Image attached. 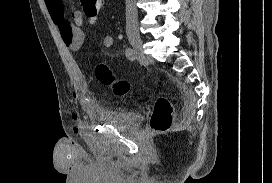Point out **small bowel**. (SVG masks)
Wrapping results in <instances>:
<instances>
[{"label":"small bowel","instance_id":"obj_1","mask_svg":"<svg viewBox=\"0 0 272 183\" xmlns=\"http://www.w3.org/2000/svg\"><path fill=\"white\" fill-rule=\"evenodd\" d=\"M47 10L58 28L64 45L71 51L79 50L85 40L83 31L84 20L79 14L73 16V23L66 19L64 0H44ZM114 44V36L107 34L102 39V45L106 48ZM75 121L80 120V115L75 112L72 114Z\"/></svg>","mask_w":272,"mask_h":183}]
</instances>
